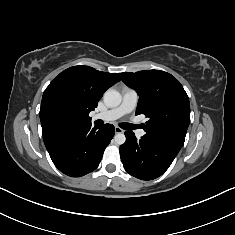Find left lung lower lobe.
<instances>
[{
  "instance_id": "obj_1",
  "label": "left lung lower lobe",
  "mask_w": 235,
  "mask_h": 235,
  "mask_svg": "<svg viewBox=\"0 0 235 235\" xmlns=\"http://www.w3.org/2000/svg\"><path fill=\"white\" fill-rule=\"evenodd\" d=\"M126 142L120 146L125 170L141 180L161 176L171 165L181 146L154 136L144 135L137 140L133 132H125Z\"/></svg>"
}]
</instances>
